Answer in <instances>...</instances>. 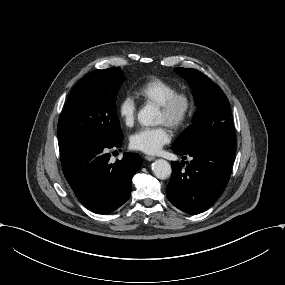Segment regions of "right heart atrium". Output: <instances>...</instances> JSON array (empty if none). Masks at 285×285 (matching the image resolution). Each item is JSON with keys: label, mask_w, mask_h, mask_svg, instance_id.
Instances as JSON below:
<instances>
[{"label": "right heart atrium", "mask_w": 285, "mask_h": 285, "mask_svg": "<svg viewBox=\"0 0 285 285\" xmlns=\"http://www.w3.org/2000/svg\"><path fill=\"white\" fill-rule=\"evenodd\" d=\"M138 107L139 103L131 92L126 93L121 98L119 102V115L127 126L134 124Z\"/></svg>", "instance_id": "d8ad5b80"}]
</instances>
